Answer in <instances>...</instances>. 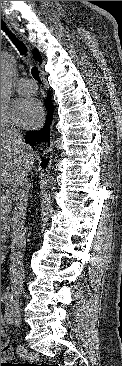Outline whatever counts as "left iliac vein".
<instances>
[{"mask_svg": "<svg viewBox=\"0 0 122 366\" xmlns=\"http://www.w3.org/2000/svg\"><path fill=\"white\" fill-rule=\"evenodd\" d=\"M20 321H21V318H20V313H19V310L17 309L15 312H14V318L12 319V322L18 326L20 324Z\"/></svg>", "mask_w": 122, "mask_h": 366, "instance_id": "4c4485c4", "label": "left iliac vein"}]
</instances>
